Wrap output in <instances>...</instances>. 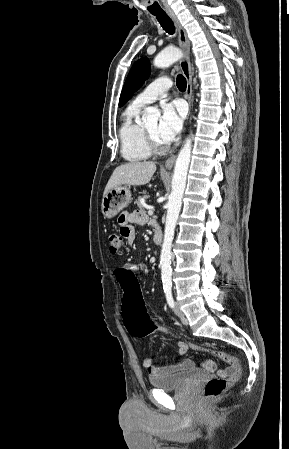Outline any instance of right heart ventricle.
Returning a JSON list of instances; mask_svg holds the SVG:
<instances>
[{"instance_id": "1", "label": "right heart ventricle", "mask_w": 289, "mask_h": 449, "mask_svg": "<svg viewBox=\"0 0 289 449\" xmlns=\"http://www.w3.org/2000/svg\"><path fill=\"white\" fill-rule=\"evenodd\" d=\"M141 109L132 103L122 115L119 129L121 154L128 161L145 160L151 155L139 120Z\"/></svg>"}]
</instances>
